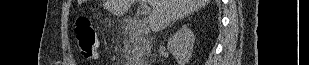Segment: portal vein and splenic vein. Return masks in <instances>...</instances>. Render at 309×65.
<instances>
[{
    "label": "portal vein and splenic vein",
    "mask_w": 309,
    "mask_h": 65,
    "mask_svg": "<svg viewBox=\"0 0 309 65\" xmlns=\"http://www.w3.org/2000/svg\"><path fill=\"white\" fill-rule=\"evenodd\" d=\"M141 7H142L141 14L148 15L150 13V8L146 4H142Z\"/></svg>",
    "instance_id": "portal-vein-and-splenic-vein-1"
}]
</instances>
